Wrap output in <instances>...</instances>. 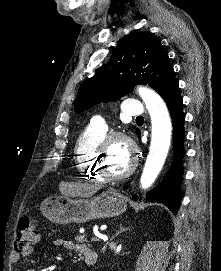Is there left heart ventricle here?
Instances as JSON below:
<instances>
[{
	"instance_id": "b2bd125f",
	"label": "left heart ventricle",
	"mask_w": 221,
	"mask_h": 271,
	"mask_svg": "<svg viewBox=\"0 0 221 271\" xmlns=\"http://www.w3.org/2000/svg\"><path fill=\"white\" fill-rule=\"evenodd\" d=\"M123 141H128L123 139L122 141H110L113 149H117L116 156H100L101 164H105L108 168V175H123V168H128L129 164H133V159H127L128 153L125 149H120V144H124Z\"/></svg>"
}]
</instances>
